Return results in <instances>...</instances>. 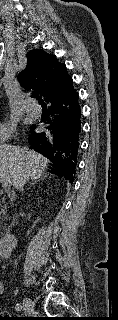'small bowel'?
<instances>
[{
    "label": "small bowel",
    "instance_id": "small-bowel-1",
    "mask_svg": "<svg viewBox=\"0 0 118 320\" xmlns=\"http://www.w3.org/2000/svg\"><path fill=\"white\" fill-rule=\"evenodd\" d=\"M4 291V284L3 282L0 280V294H2Z\"/></svg>",
    "mask_w": 118,
    "mask_h": 320
}]
</instances>
